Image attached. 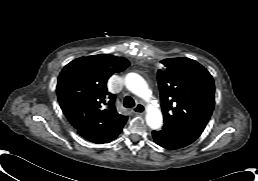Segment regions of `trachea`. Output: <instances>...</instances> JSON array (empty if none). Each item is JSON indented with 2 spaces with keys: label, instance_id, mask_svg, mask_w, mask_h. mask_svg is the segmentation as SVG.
Returning a JSON list of instances; mask_svg holds the SVG:
<instances>
[{
  "label": "trachea",
  "instance_id": "1",
  "mask_svg": "<svg viewBox=\"0 0 258 181\" xmlns=\"http://www.w3.org/2000/svg\"><path fill=\"white\" fill-rule=\"evenodd\" d=\"M123 104H124V107H126V108H131V107L135 106V102H134L133 98L130 96L125 97Z\"/></svg>",
  "mask_w": 258,
  "mask_h": 181
}]
</instances>
